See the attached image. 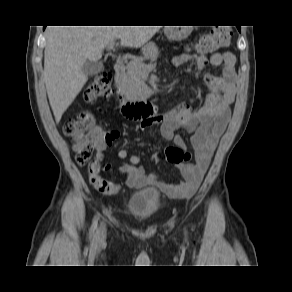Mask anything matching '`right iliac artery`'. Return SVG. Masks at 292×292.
Masks as SVG:
<instances>
[{
    "label": "right iliac artery",
    "instance_id": "obj_1",
    "mask_svg": "<svg viewBox=\"0 0 292 292\" xmlns=\"http://www.w3.org/2000/svg\"><path fill=\"white\" fill-rule=\"evenodd\" d=\"M97 228H98V217H95L92 227H91V231H90V235L95 237L97 235Z\"/></svg>",
    "mask_w": 292,
    "mask_h": 292
}]
</instances>
